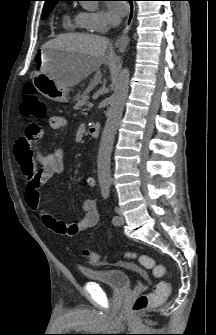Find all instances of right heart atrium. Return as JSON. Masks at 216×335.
Here are the masks:
<instances>
[{"instance_id": "obj_1", "label": "right heart atrium", "mask_w": 216, "mask_h": 335, "mask_svg": "<svg viewBox=\"0 0 216 335\" xmlns=\"http://www.w3.org/2000/svg\"><path fill=\"white\" fill-rule=\"evenodd\" d=\"M83 16L89 28L93 31L104 32L110 23L109 15L103 11L84 12Z\"/></svg>"}]
</instances>
